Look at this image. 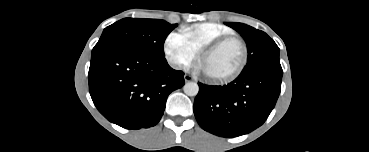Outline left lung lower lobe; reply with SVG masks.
<instances>
[{
	"label": "left lung lower lobe",
	"mask_w": 369,
	"mask_h": 152,
	"mask_svg": "<svg viewBox=\"0 0 369 152\" xmlns=\"http://www.w3.org/2000/svg\"><path fill=\"white\" fill-rule=\"evenodd\" d=\"M283 71L262 70L238 76L223 86L198 83L194 114L201 128L221 137H237L261 126L281 91Z\"/></svg>",
	"instance_id": "obj_1"
}]
</instances>
